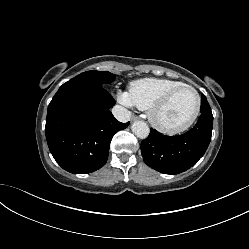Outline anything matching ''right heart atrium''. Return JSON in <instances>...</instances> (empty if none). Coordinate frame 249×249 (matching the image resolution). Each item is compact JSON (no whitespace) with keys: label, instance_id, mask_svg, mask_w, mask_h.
<instances>
[{"label":"right heart atrium","instance_id":"d8ad5b80","mask_svg":"<svg viewBox=\"0 0 249 249\" xmlns=\"http://www.w3.org/2000/svg\"><path fill=\"white\" fill-rule=\"evenodd\" d=\"M117 98L122 104H124L126 106H132L133 105V103H132V101L130 99L129 93H127V92L118 91Z\"/></svg>","mask_w":249,"mask_h":249}]
</instances>
